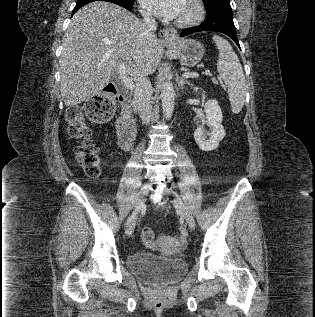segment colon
<instances>
[{
	"label": "colon",
	"instance_id": "5ec220e1",
	"mask_svg": "<svg viewBox=\"0 0 315 317\" xmlns=\"http://www.w3.org/2000/svg\"><path fill=\"white\" fill-rule=\"evenodd\" d=\"M116 99L113 89L103 90L85 103V115L98 122L110 120L115 112ZM65 117L69 125V134L78 141L76 158L79 165L89 177L98 176L101 168L99 148L92 140L84 113L80 107L71 106L66 110ZM141 238L145 244L154 245L155 234L151 228L143 227Z\"/></svg>",
	"mask_w": 315,
	"mask_h": 317
}]
</instances>
